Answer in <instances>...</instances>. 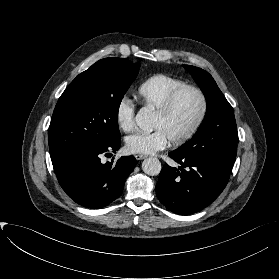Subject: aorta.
<instances>
[{
	"instance_id": "aorta-1",
	"label": "aorta",
	"mask_w": 279,
	"mask_h": 279,
	"mask_svg": "<svg viewBox=\"0 0 279 279\" xmlns=\"http://www.w3.org/2000/svg\"><path fill=\"white\" fill-rule=\"evenodd\" d=\"M153 119L154 115L151 110L147 107L141 108L136 117V124L145 132H151L153 129ZM161 163L157 158L149 157L145 159L142 163L143 171L150 176H156L161 171Z\"/></svg>"
}]
</instances>
